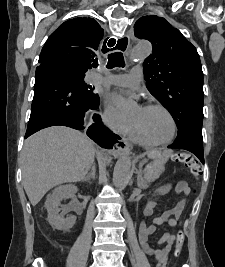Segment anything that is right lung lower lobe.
I'll list each match as a JSON object with an SVG mask.
<instances>
[{"label": "right lung lower lobe", "instance_id": "98d812e1", "mask_svg": "<svg viewBox=\"0 0 225 267\" xmlns=\"http://www.w3.org/2000/svg\"><path fill=\"white\" fill-rule=\"evenodd\" d=\"M98 108V107H97ZM79 89L74 73L51 63L36 68L34 97L25 138L54 125L77 130L88 127L87 135L101 147L111 149L118 136L102 126L97 109ZM89 111V114L85 113ZM85 120V123H84ZM94 121L95 124L90 122Z\"/></svg>", "mask_w": 225, "mask_h": 267}]
</instances>
